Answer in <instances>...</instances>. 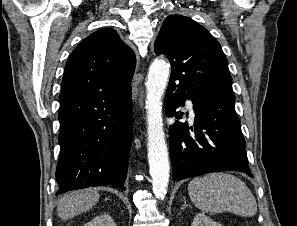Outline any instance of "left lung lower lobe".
Segmentation results:
<instances>
[{"instance_id":"left-lung-lower-lobe-1","label":"left lung lower lobe","mask_w":297,"mask_h":226,"mask_svg":"<svg viewBox=\"0 0 297 226\" xmlns=\"http://www.w3.org/2000/svg\"><path fill=\"white\" fill-rule=\"evenodd\" d=\"M186 98L193 102L195 122L193 127L181 122L170 127L173 180L222 170L253 177L234 100L202 98L169 81L165 99L167 116L180 119L179 112L175 111L184 105ZM190 129L193 133H189Z\"/></svg>"}]
</instances>
